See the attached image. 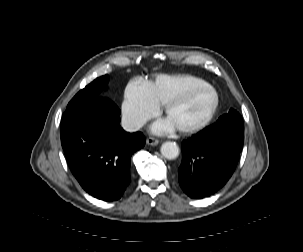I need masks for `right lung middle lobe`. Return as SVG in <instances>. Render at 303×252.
Listing matches in <instances>:
<instances>
[{
	"instance_id": "1",
	"label": "right lung middle lobe",
	"mask_w": 303,
	"mask_h": 252,
	"mask_svg": "<svg viewBox=\"0 0 303 252\" xmlns=\"http://www.w3.org/2000/svg\"><path fill=\"white\" fill-rule=\"evenodd\" d=\"M108 80V75L95 79L93 82H91L84 89L80 90L74 96V98L69 102L67 110L79 107L90 101L99 99L100 97H98V94L106 87Z\"/></svg>"
}]
</instances>
